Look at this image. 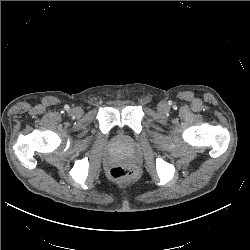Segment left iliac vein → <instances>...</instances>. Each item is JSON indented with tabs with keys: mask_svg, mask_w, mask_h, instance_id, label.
Returning a JSON list of instances; mask_svg holds the SVG:
<instances>
[{
	"mask_svg": "<svg viewBox=\"0 0 250 250\" xmlns=\"http://www.w3.org/2000/svg\"><path fill=\"white\" fill-rule=\"evenodd\" d=\"M158 110L161 113H167L169 111V105L166 102H160L158 105Z\"/></svg>",
	"mask_w": 250,
	"mask_h": 250,
	"instance_id": "left-iliac-vein-1",
	"label": "left iliac vein"
}]
</instances>
